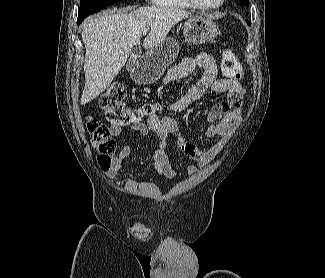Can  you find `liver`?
Wrapping results in <instances>:
<instances>
[{
    "label": "liver",
    "instance_id": "liver-1",
    "mask_svg": "<svg viewBox=\"0 0 325 278\" xmlns=\"http://www.w3.org/2000/svg\"><path fill=\"white\" fill-rule=\"evenodd\" d=\"M190 15L178 8L148 6L124 8L91 19L82 31L86 54L81 104L95 99L111 84L125 65L133 46L140 45L145 28L150 32L143 47L151 49L166 38L175 24Z\"/></svg>",
    "mask_w": 325,
    "mask_h": 278
}]
</instances>
